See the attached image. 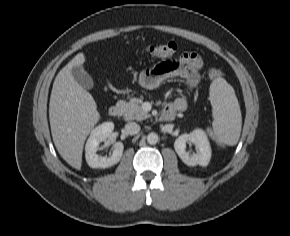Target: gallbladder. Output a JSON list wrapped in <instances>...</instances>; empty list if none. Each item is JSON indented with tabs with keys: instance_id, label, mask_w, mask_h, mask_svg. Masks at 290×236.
Returning <instances> with one entry per match:
<instances>
[{
	"instance_id": "obj_1",
	"label": "gallbladder",
	"mask_w": 290,
	"mask_h": 236,
	"mask_svg": "<svg viewBox=\"0 0 290 236\" xmlns=\"http://www.w3.org/2000/svg\"><path fill=\"white\" fill-rule=\"evenodd\" d=\"M75 81L85 89H92L94 81L82 66H75L71 70Z\"/></svg>"
}]
</instances>
